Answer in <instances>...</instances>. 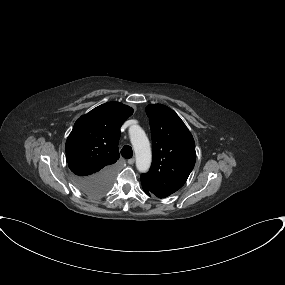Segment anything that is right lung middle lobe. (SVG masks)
Here are the masks:
<instances>
[{
    "label": "right lung middle lobe",
    "instance_id": "right-lung-middle-lobe-1",
    "mask_svg": "<svg viewBox=\"0 0 285 285\" xmlns=\"http://www.w3.org/2000/svg\"><path fill=\"white\" fill-rule=\"evenodd\" d=\"M99 196H102V195H97V196H94V197H99Z\"/></svg>",
    "mask_w": 285,
    "mask_h": 285
}]
</instances>
